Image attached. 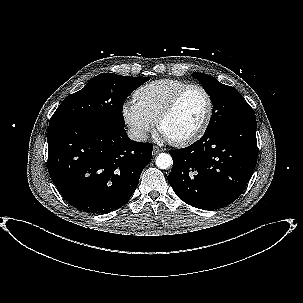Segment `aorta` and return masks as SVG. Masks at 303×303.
I'll list each match as a JSON object with an SVG mask.
<instances>
[{"label": "aorta", "mask_w": 303, "mask_h": 303, "mask_svg": "<svg viewBox=\"0 0 303 303\" xmlns=\"http://www.w3.org/2000/svg\"><path fill=\"white\" fill-rule=\"evenodd\" d=\"M172 163V157L167 153H160L156 158V165L160 169H167Z\"/></svg>", "instance_id": "1"}]
</instances>
